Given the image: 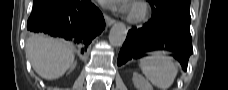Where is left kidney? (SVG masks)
Here are the masks:
<instances>
[{"label":"left kidney","mask_w":228,"mask_h":90,"mask_svg":"<svg viewBox=\"0 0 228 90\" xmlns=\"http://www.w3.org/2000/svg\"><path fill=\"white\" fill-rule=\"evenodd\" d=\"M133 83L137 90H153L151 84L137 72L133 73Z\"/></svg>","instance_id":"left-kidney-1"}]
</instances>
